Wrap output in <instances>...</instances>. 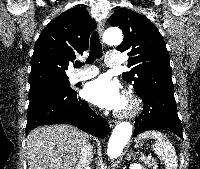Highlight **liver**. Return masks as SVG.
I'll return each mask as SVG.
<instances>
[{
  "mask_svg": "<svg viewBox=\"0 0 200 169\" xmlns=\"http://www.w3.org/2000/svg\"><path fill=\"white\" fill-rule=\"evenodd\" d=\"M88 135L61 124L32 130L26 138L28 169H74Z\"/></svg>",
  "mask_w": 200,
  "mask_h": 169,
  "instance_id": "1",
  "label": "liver"
}]
</instances>
